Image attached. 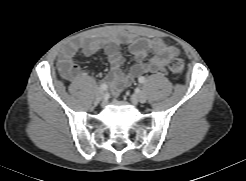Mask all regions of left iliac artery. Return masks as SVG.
I'll list each match as a JSON object with an SVG mask.
<instances>
[{
	"instance_id": "obj_1",
	"label": "left iliac artery",
	"mask_w": 246,
	"mask_h": 181,
	"mask_svg": "<svg viewBox=\"0 0 246 181\" xmlns=\"http://www.w3.org/2000/svg\"><path fill=\"white\" fill-rule=\"evenodd\" d=\"M138 81H139V83L143 84V83L146 82V78H145L144 76H140V77L138 78Z\"/></svg>"
}]
</instances>
